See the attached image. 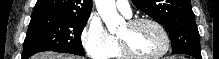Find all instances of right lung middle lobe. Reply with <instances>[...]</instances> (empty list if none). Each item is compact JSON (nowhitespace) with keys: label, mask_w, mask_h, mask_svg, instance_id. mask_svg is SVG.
<instances>
[{"label":"right lung middle lobe","mask_w":219,"mask_h":59,"mask_svg":"<svg viewBox=\"0 0 219 59\" xmlns=\"http://www.w3.org/2000/svg\"><path fill=\"white\" fill-rule=\"evenodd\" d=\"M89 16L32 14L24 41L22 59L40 51H55L83 56L80 35Z\"/></svg>","instance_id":"right-lung-middle-lobe-1"}]
</instances>
